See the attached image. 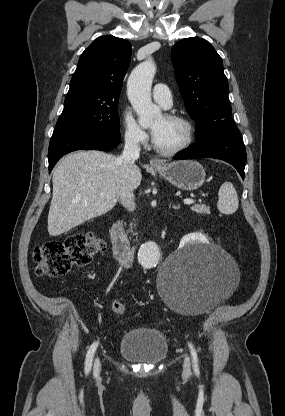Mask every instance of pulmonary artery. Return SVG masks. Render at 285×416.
<instances>
[{
	"instance_id": "pulmonary-artery-1",
	"label": "pulmonary artery",
	"mask_w": 285,
	"mask_h": 416,
	"mask_svg": "<svg viewBox=\"0 0 285 416\" xmlns=\"http://www.w3.org/2000/svg\"><path fill=\"white\" fill-rule=\"evenodd\" d=\"M171 93V87H166V85L162 83L156 84L153 90L154 98L159 100L164 107H168L170 105V101L172 100Z\"/></svg>"
}]
</instances>
